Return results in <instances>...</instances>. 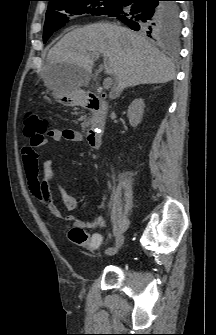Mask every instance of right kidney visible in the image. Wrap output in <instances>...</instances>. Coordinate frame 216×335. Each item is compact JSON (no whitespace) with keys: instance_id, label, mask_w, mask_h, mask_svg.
I'll use <instances>...</instances> for the list:
<instances>
[{"instance_id":"1","label":"right kidney","mask_w":216,"mask_h":335,"mask_svg":"<svg viewBox=\"0 0 216 335\" xmlns=\"http://www.w3.org/2000/svg\"><path fill=\"white\" fill-rule=\"evenodd\" d=\"M145 103L141 98L134 99L128 107L127 117L132 127H136L142 120Z\"/></svg>"}]
</instances>
